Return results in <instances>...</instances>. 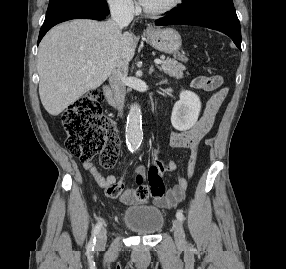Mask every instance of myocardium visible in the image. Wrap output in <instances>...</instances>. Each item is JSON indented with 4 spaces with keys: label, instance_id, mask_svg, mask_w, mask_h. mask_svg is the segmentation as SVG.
<instances>
[{
    "label": "myocardium",
    "instance_id": "1",
    "mask_svg": "<svg viewBox=\"0 0 286 269\" xmlns=\"http://www.w3.org/2000/svg\"><path fill=\"white\" fill-rule=\"evenodd\" d=\"M181 2L182 0H172L168 4H166L164 7H161L158 9H149L142 4L141 8H142V11L148 16H160V15H164V14H167L173 11L175 8H177L181 4Z\"/></svg>",
    "mask_w": 286,
    "mask_h": 269
}]
</instances>
